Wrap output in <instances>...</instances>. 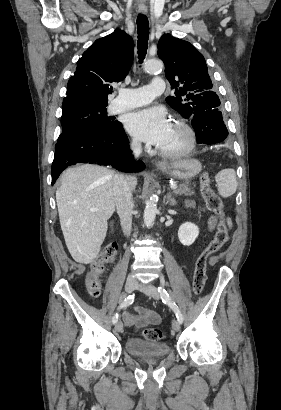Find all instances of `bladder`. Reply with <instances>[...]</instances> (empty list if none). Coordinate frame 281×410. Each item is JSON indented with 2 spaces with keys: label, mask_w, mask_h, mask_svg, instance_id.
Wrapping results in <instances>:
<instances>
[{
  "label": "bladder",
  "mask_w": 281,
  "mask_h": 410,
  "mask_svg": "<svg viewBox=\"0 0 281 410\" xmlns=\"http://www.w3.org/2000/svg\"><path fill=\"white\" fill-rule=\"evenodd\" d=\"M125 349L130 355L144 359L161 358L170 352V346L165 342L144 340L139 337L127 338Z\"/></svg>",
  "instance_id": "1"
}]
</instances>
